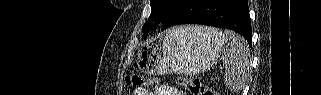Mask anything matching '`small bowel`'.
Listing matches in <instances>:
<instances>
[{
  "label": "small bowel",
  "mask_w": 321,
  "mask_h": 95,
  "mask_svg": "<svg viewBox=\"0 0 321 95\" xmlns=\"http://www.w3.org/2000/svg\"><path fill=\"white\" fill-rule=\"evenodd\" d=\"M136 95H149L150 93L144 91L143 89H137L135 91ZM157 95H185L184 92L179 91L177 88L164 85L159 88Z\"/></svg>",
  "instance_id": "obj_1"
}]
</instances>
